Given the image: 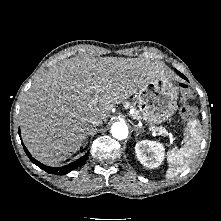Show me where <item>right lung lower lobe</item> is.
Instances as JSON below:
<instances>
[{
	"label": "right lung lower lobe",
	"instance_id": "right-lung-lower-lobe-1",
	"mask_svg": "<svg viewBox=\"0 0 221 221\" xmlns=\"http://www.w3.org/2000/svg\"><path fill=\"white\" fill-rule=\"evenodd\" d=\"M19 135H20V133H19ZM22 145H23V148H24L27 156L29 157V159L35 165H37L42 170H44V171H46L47 173H50V174H57V175L67 174V173L71 172L72 170L81 167L86 162V160L88 158V153H86L84 156H82L81 158H79L75 162H72V163H70L69 165H67L65 167L55 168V167L46 166V165L40 163L39 161H37L36 159H34L32 157V155L29 153V151L27 150V148L24 146L23 143H22Z\"/></svg>",
	"mask_w": 221,
	"mask_h": 221
}]
</instances>
